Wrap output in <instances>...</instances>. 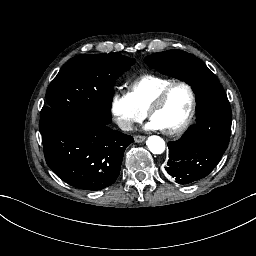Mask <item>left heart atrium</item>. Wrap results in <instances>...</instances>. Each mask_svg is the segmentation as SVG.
I'll list each match as a JSON object with an SVG mask.
<instances>
[{"label":"left heart atrium","instance_id":"1","mask_svg":"<svg viewBox=\"0 0 256 256\" xmlns=\"http://www.w3.org/2000/svg\"><path fill=\"white\" fill-rule=\"evenodd\" d=\"M146 128L153 131L166 132L165 125L157 118L152 117L146 124Z\"/></svg>","mask_w":256,"mask_h":256}]
</instances>
